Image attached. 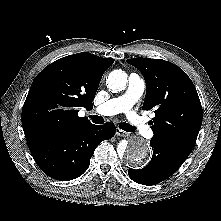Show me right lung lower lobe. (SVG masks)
Masks as SVG:
<instances>
[{
    "instance_id": "1",
    "label": "right lung lower lobe",
    "mask_w": 221,
    "mask_h": 221,
    "mask_svg": "<svg viewBox=\"0 0 221 221\" xmlns=\"http://www.w3.org/2000/svg\"><path fill=\"white\" fill-rule=\"evenodd\" d=\"M115 131V125L110 122L99 126L90 124L28 146L46 175L69 181L87 170L97 145L112 138Z\"/></svg>"
}]
</instances>
